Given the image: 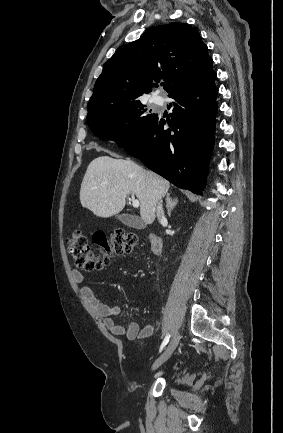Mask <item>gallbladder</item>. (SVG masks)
<instances>
[{
  "instance_id": "obj_1",
  "label": "gallbladder",
  "mask_w": 283,
  "mask_h": 433,
  "mask_svg": "<svg viewBox=\"0 0 283 433\" xmlns=\"http://www.w3.org/2000/svg\"><path fill=\"white\" fill-rule=\"evenodd\" d=\"M116 217L127 227H133V229H145L146 227L142 219L140 217H133V214H116Z\"/></svg>"
}]
</instances>
